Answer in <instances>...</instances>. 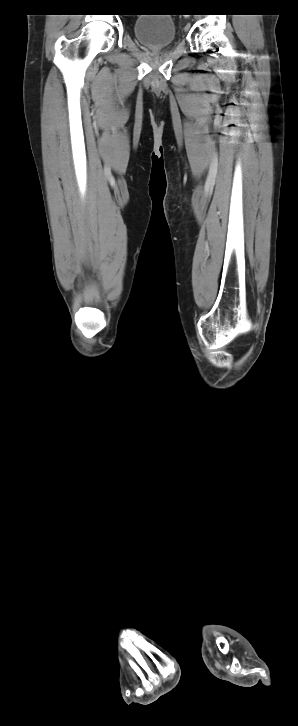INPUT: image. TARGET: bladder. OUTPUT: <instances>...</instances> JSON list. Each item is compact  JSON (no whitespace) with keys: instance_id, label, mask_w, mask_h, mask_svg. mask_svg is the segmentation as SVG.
I'll use <instances>...</instances> for the list:
<instances>
[{"instance_id":"bladder-1","label":"bladder","mask_w":298,"mask_h":726,"mask_svg":"<svg viewBox=\"0 0 298 726\" xmlns=\"http://www.w3.org/2000/svg\"><path fill=\"white\" fill-rule=\"evenodd\" d=\"M133 34L149 49L170 46L176 38V26L166 14H141L133 23Z\"/></svg>"}]
</instances>
